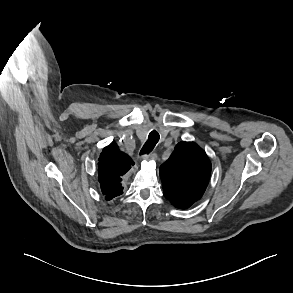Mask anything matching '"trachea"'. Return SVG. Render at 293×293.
Instances as JSON below:
<instances>
[{"label":"trachea","instance_id":"1","mask_svg":"<svg viewBox=\"0 0 293 293\" xmlns=\"http://www.w3.org/2000/svg\"><path fill=\"white\" fill-rule=\"evenodd\" d=\"M159 138H160V136L157 131H155V130L151 131L148 136V140L143 145V147L140 151V155L149 154L153 150V148L155 147L157 142L159 141Z\"/></svg>","mask_w":293,"mask_h":293}]
</instances>
